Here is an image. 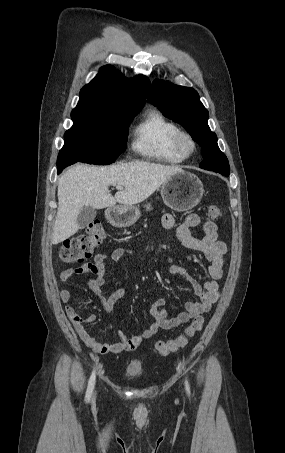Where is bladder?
Instances as JSON below:
<instances>
[{
  "instance_id": "bladder-1",
  "label": "bladder",
  "mask_w": 285,
  "mask_h": 453,
  "mask_svg": "<svg viewBox=\"0 0 285 453\" xmlns=\"http://www.w3.org/2000/svg\"><path fill=\"white\" fill-rule=\"evenodd\" d=\"M143 367L140 362H131L126 367V373L131 377H138L142 374Z\"/></svg>"
}]
</instances>
